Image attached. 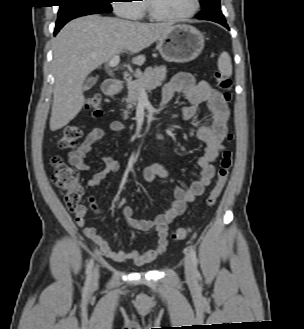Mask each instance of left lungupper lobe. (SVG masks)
I'll return each mask as SVG.
<instances>
[{
    "mask_svg": "<svg viewBox=\"0 0 304 329\" xmlns=\"http://www.w3.org/2000/svg\"><path fill=\"white\" fill-rule=\"evenodd\" d=\"M211 0H200L201 6L204 7L207 5Z\"/></svg>",
    "mask_w": 304,
    "mask_h": 329,
    "instance_id": "1",
    "label": "left lung upper lobe"
}]
</instances>
